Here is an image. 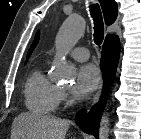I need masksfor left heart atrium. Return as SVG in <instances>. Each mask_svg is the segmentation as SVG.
<instances>
[{"mask_svg":"<svg viewBox=\"0 0 141 139\" xmlns=\"http://www.w3.org/2000/svg\"><path fill=\"white\" fill-rule=\"evenodd\" d=\"M99 81L100 74L95 65H82L77 71L76 82L72 89L73 94L78 98H86L98 87Z\"/></svg>","mask_w":141,"mask_h":139,"instance_id":"1","label":"left heart atrium"}]
</instances>
